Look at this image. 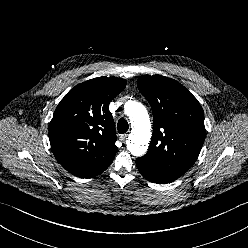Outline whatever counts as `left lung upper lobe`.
I'll return each instance as SVG.
<instances>
[{"mask_svg": "<svg viewBox=\"0 0 248 248\" xmlns=\"http://www.w3.org/2000/svg\"><path fill=\"white\" fill-rule=\"evenodd\" d=\"M137 85L154 118L149 150L139 159L152 171L176 180L193 166L202 148L206 133L202 107L173 79L147 75L139 77Z\"/></svg>", "mask_w": 248, "mask_h": 248, "instance_id": "left-lung-upper-lobe-1", "label": "left lung upper lobe"}]
</instances>
